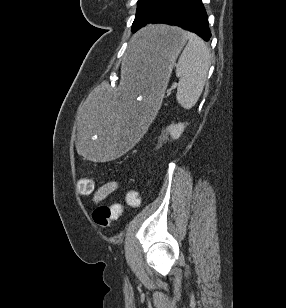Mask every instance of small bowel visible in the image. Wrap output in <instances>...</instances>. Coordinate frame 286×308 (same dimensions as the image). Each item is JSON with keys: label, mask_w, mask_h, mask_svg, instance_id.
Masks as SVG:
<instances>
[{"label": "small bowel", "mask_w": 286, "mask_h": 308, "mask_svg": "<svg viewBox=\"0 0 286 308\" xmlns=\"http://www.w3.org/2000/svg\"><path fill=\"white\" fill-rule=\"evenodd\" d=\"M118 184L115 181H110L101 186L94 195V201L96 203L103 201L116 191Z\"/></svg>", "instance_id": "1"}]
</instances>
